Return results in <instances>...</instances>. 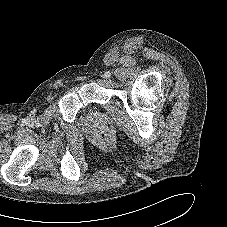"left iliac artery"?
I'll return each mask as SVG.
<instances>
[{
  "label": "left iliac artery",
  "mask_w": 227,
  "mask_h": 227,
  "mask_svg": "<svg viewBox=\"0 0 227 227\" xmlns=\"http://www.w3.org/2000/svg\"><path fill=\"white\" fill-rule=\"evenodd\" d=\"M106 75H107V76H110V72H106Z\"/></svg>",
  "instance_id": "44dca946"
}]
</instances>
